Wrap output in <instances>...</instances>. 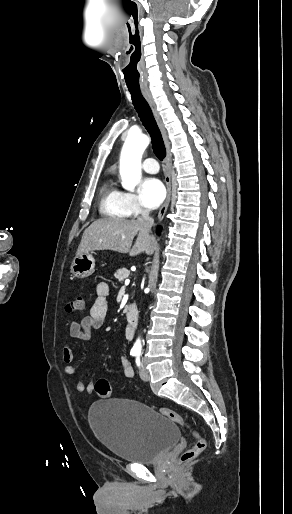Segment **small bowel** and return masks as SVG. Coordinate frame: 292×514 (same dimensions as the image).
Returning a JSON list of instances; mask_svg holds the SVG:
<instances>
[{
  "mask_svg": "<svg viewBox=\"0 0 292 514\" xmlns=\"http://www.w3.org/2000/svg\"><path fill=\"white\" fill-rule=\"evenodd\" d=\"M109 285L106 282H99L96 285V299L93 302L89 314L80 320L73 321L69 327V334L71 338L86 341L91 337L92 330L101 328L108 317V304L107 297L109 295ZM62 358L67 364L65 373L67 375H74L76 372L74 361V351L69 343H66L62 350ZM121 368L126 378L134 376V369L126 358L121 359ZM76 390L79 392L92 393L95 387V376L91 373L88 383L83 380H78L75 383Z\"/></svg>",
  "mask_w": 292,
  "mask_h": 514,
  "instance_id": "obj_1",
  "label": "small bowel"
}]
</instances>
